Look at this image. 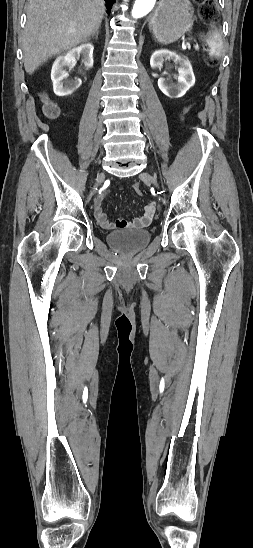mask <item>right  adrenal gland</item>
Returning <instances> with one entry per match:
<instances>
[{
    "instance_id": "obj_1",
    "label": "right adrenal gland",
    "mask_w": 253,
    "mask_h": 548,
    "mask_svg": "<svg viewBox=\"0 0 253 548\" xmlns=\"http://www.w3.org/2000/svg\"><path fill=\"white\" fill-rule=\"evenodd\" d=\"M98 35H99V31L97 30L94 34L91 35V37L89 38V40H90L91 38H94V37H95L96 39H98Z\"/></svg>"
}]
</instances>
